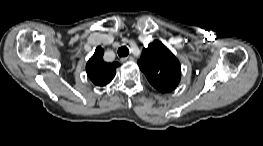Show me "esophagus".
Here are the masks:
<instances>
[{"mask_svg": "<svg viewBox=\"0 0 263 146\" xmlns=\"http://www.w3.org/2000/svg\"><path fill=\"white\" fill-rule=\"evenodd\" d=\"M122 63H125V62H129V61H133L134 58L133 57H123L120 59Z\"/></svg>", "mask_w": 263, "mask_h": 146, "instance_id": "obj_1", "label": "esophagus"}]
</instances>
